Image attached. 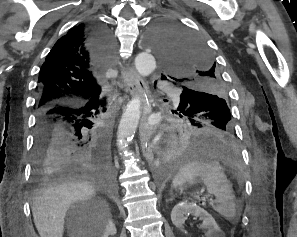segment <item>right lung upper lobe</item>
<instances>
[{"mask_svg":"<svg viewBox=\"0 0 297 237\" xmlns=\"http://www.w3.org/2000/svg\"><path fill=\"white\" fill-rule=\"evenodd\" d=\"M94 26V23H82L72 28L49 52L38 79L37 111L99 97L102 73L109 63L111 51L105 57L98 55L93 46Z\"/></svg>","mask_w":297,"mask_h":237,"instance_id":"1","label":"right lung upper lobe"}]
</instances>
